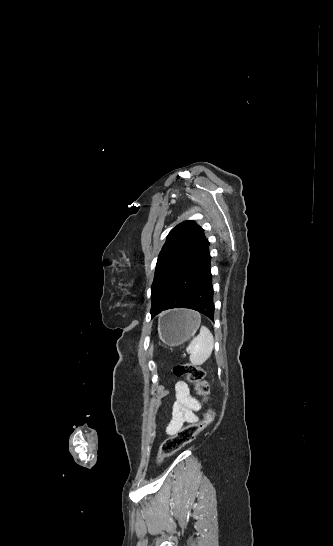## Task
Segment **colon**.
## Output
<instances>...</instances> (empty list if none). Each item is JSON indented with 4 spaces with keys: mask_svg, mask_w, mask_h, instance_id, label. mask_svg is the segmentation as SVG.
<instances>
[{
    "mask_svg": "<svg viewBox=\"0 0 333 546\" xmlns=\"http://www.w3.org/2000/svg\"><path fill=\"white\" fill-rule=\"evenodd\" d=\"M172 373L177 377H184L193 385L196 396L206 402L208 397V384L205 380L204 370L190 362L179 363L173 366ZM214 419V412L208 409L200 421L182 427L178 432L167 437L159 448L157 461L172 456L182 447L192 442L196 436L204 430Z\"/></svg>",
    "mask_w": 333,
    "mask_h": 546,
    "instance_id": "colon-1",
    "label": "colon"
}]
</instances>
